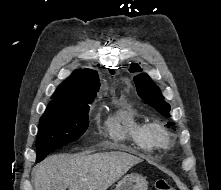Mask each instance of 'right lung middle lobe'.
Returning a JSON list of instances; mask_svg holds the SVG:
<instances>
[{"label":"right lung middle lobe","mask_w":221,"mask_h":190,"mask_svg":"<svg viewBox=\"0 0 221 190\" xmlns=\"http://www.w3.org/2000/svg\"><path fill=\"white\" fill-rule=\"evenodd\" d=\"M88 100L70 108H47L40 119L36 140L37 160L40 162L51 151L80 138L89 126Z\"/></svg>","instance_id":"dd1d6c3e"}]
</instances>
